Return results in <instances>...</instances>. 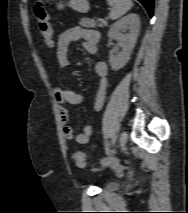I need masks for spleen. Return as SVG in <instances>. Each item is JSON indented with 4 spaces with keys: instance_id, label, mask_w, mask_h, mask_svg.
I'll return each instance as SVG.
<instances>
[{
    "instance_id": "spleen-1",
    "label": "spleen",
    "mask_w": 188,
    "mask_h": 213,
    "mask_svg": "<svg viewBox=\"0 0 188 213\" xmlns=\"http://www.w3.org/2000/svg\"><path fill=\"white\" fill-rule=\"evenodd\" d=\"M107 2L111 7L109 17L112 20L118 19L133 6L132 0H107Z\"/></svg>"
}]
</instances>
